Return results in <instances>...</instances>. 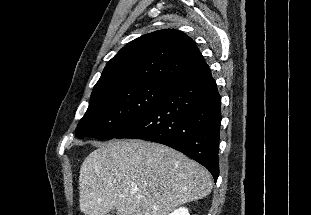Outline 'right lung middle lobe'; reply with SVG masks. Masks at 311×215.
Returning <instances> with one entry per match:
<instances>
[{
    "label": "right lung middle lobe",
    "mask_w": 311,
    "mask_h": 215,
    "mask_svg": "<svg viewBox=\"0 0 311 215\" xmlns=\"http://www.w3.org/2000/svg\"><path fill=\"white\" fill-rule=\"evenodd\" d=\"M167 87L164 83L127 84L91 94L89 107L76 128V137L115 138L149 113Z\"/></svg>",
    "instance_id": "1"
}]
</instances>
